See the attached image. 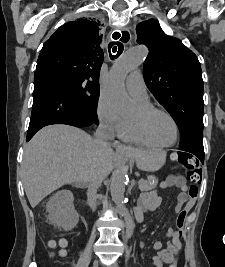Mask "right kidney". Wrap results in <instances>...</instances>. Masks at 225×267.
I'll use <instances>...</instances> for the list:
<instances>
[{"instance_id":"obj_1","label":"right kidney","mask_w":225,"mask_h":267,"mask_svg":"<svg viewBox=\"0 0 225 267\" xmlns=\"http://www.w3.org/2000/svg\"><path fill=\"white\" fill-rule=\"evenodd\" d=\"M72 192L61 190L54 194L47 203L49 220L65 231L73 229L78 223V213L73 205Z\"/></svg>"}]
</instances>
